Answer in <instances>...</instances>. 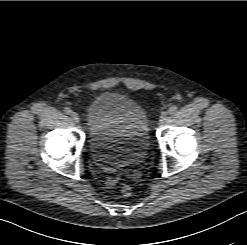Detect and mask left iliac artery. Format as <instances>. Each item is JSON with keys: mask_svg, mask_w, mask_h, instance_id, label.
I'll return each mask as SVG.
<instances>
[{"mask_svg": "<svg viewBox=\"0 0 247 245\" xmlns=\"http://www.w3.org/2000/svg\"><path fill=\"white\" fill-rule=\"evenodd\" d=\"M176 111H177V106L175 105L170 106L168 110L169 114H174Z\"/></svg>", "mask_w": 247, "mask_h": 245, "instance_id": "obj_1", "label": "left iliac artery"}]
</instances>
